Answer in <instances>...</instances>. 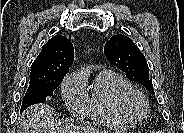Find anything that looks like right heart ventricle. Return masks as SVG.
Listing matches in <instances>:
<instances>
[{
  "mask_svg": "<svg viewBox=\"0 0 184 133\" xmlns=\"http://www.w3.org/2000/svg\"><path fill=\"white\" fill-rule=\"evenodd\" d=\"M82 74L85 78V73ZM132 88L131 83L122 75L110 69L99 70L90 87L86 112L95 122L103 125L116 127L132 125L134 121L123 115L118 106L120 94Z\"/></svg>",
  "mask_w": 184,
  "mask_h": 133,
  "instance_id": "e07e8e85",
  "label": "right heart ventricle"
}]
</instances>
